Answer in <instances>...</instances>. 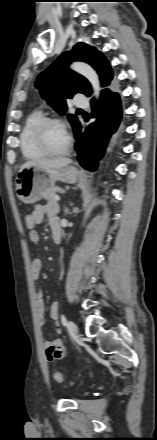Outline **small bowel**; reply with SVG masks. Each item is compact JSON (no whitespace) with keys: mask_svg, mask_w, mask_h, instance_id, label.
Segmentation results:
<instances>
[{"mask_svg":"<svg viewBox=\"0 0 157 440\" xmlns=\"http://www.w3.org/2000/svg\"><path fill=\"white\" fill-rule=\"evenodd\" d=\"M57 212H58V206L55 202H48L46 204H42V205H37L34 208V211L32 213L35 221L37 224H40L43 222L44 217L46 215L49 216V224H50V228L52 229L54 226H59V222L57 219ZM29 238L32 242L36 243L39 240V233L38 231L32 230L29 232ZM42 269V261L40 258H35L33 259L32 263H31V271H32V278L36 281L39 278L40 272ZM36 297H37V314H38V322L39 324L42 326L45 322V313H46V307H45V303L44 300L42 298V292L40 290L39 287H37L36 289ZM50 315L52 317V319H54L56 322L58 321V316H59V303L58 302H54L51 305L50 308ZM56 328H57V332L60 331V327L58 322L56 323ZM54 346H61L63 348V341L61 337H57L54 340H47L44 342V347H45V352H46V357L49 361H53V360H59L62 359L65 356V349L63 348V356L61 358H54L51 354H50V350L52 349V347Z\"/></svg>","mask_w":157,"mask_h":440,"instance_id":"small-bowel-1","label":"small bowel"}]
</instances>
